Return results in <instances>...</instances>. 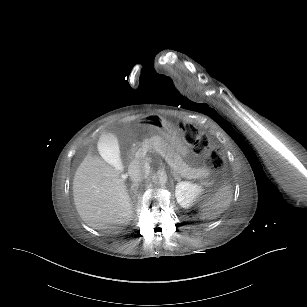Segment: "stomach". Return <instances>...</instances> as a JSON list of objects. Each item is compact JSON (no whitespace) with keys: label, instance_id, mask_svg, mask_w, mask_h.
Here are the masks:
<instances>
[{"label":"stomach","instance_id":"0dacf381","mask_svg":"<svg viewBox=\"0 0 307 307\" xmlns=\"http://www.w3.org/2000/svg\"><path fill=\"white\" fill-rule=\"evenodd\" d=\"M146 119L155 124L157 131L170 143L177 154L183 157L187 155L188 148L186 143L174 125L155 115L149 116Z\"/></svg>","mask_w":307,"mask_h":307}]
</instances>
